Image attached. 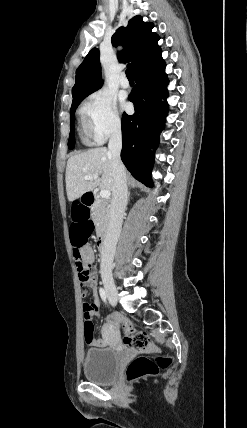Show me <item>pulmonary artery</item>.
<instances>
[{"instance_id": "pulmonary-artery-1", "label": "pulmonary artery", "mask_w": 247, "mask_h": 428, "mask_svg": "<svg viewBox=\"0 0 247 428\" xmlns=\"http://www.w3.org/2000/svg\"><path fill=\"white\" fill-rule=\"evenodd\" d=\"M119 83H120V86L122 88H128L129 87V81L127 80L125 75L121 76Z\"/></svg>"}]
</instances>
